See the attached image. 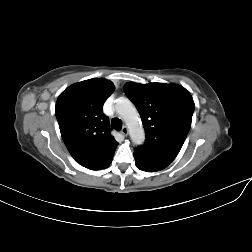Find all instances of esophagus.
<instances>
[{
    "label": "esophagus",
    "mask_w": 252,
    "mask_h": 252,
    "mask_svg": "<svg viewBox=\"0 0 252 252\" xmlns=\"http://www.w3.org/2000/svg\"><path fill=\"white\" fill-rule=\"evenodd\" d=\"M121 133L124 135V136H127L128 135V128L127 126H123L122 130H121Z\"/></svg>",
    "instance_id": "obj_1"
}]
</instances>
